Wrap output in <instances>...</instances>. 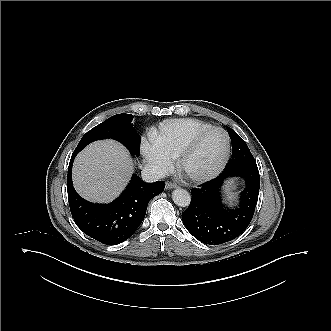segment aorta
Wrapping results in <instances>:
<instances>
[{
  "mask_svg": "<svg viewBox=\"0 0 331 331\" xmlns=\"http://www.w3.org/2000/svg\"><path fill=\"white\" fill-rule=\"evenodd\" d=\"M173 202L180 207H188L191 203V195L188 191L178 188L172 192Z\"/></svg>",
  "mask_w": 331,
  "mask_h": 331,
  "instance_id": "1",
  "label": "aorta"
}]
</instances>
